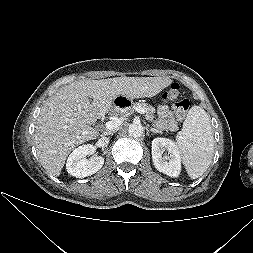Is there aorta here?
I'll return each instance as SVG.
<instances>
[{
  "instance_id": "obj_1",
  "label": "aorta",
  "mask_w": 253,
  "mask_h": 253,
  "mask_svg": "<svg viewBox=\"0 0 253 253\" xmlns=\"http://www.w3.org/2000/svg\"><path fill=\"white\" fill-rule=\"evenodd\" d=\"M128 132L131 137L138 138L143 135L144 129L141 124L133 123V124L129 125Z\"/></svg>"
}]
</instances>
